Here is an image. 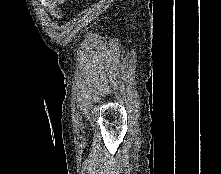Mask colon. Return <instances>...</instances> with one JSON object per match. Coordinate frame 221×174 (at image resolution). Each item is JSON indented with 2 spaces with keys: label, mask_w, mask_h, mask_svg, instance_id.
<instances>
[{
  "label": "colon",
  "mask_w": 221,
  "mask_h": 174,
  "mask_svg": "<svg viewBox=\"0 0 221 174\" xmlns=\"http://www.w3.org/2000/svg\"><path fill=\"white\" fill-rule=\"evenodd\" d=\"M65 0H45V4L49 8L53 17H59L57 6L62 4Z\"/></svg>",
  "instance_id": "colon-1"
}]
</instances>
